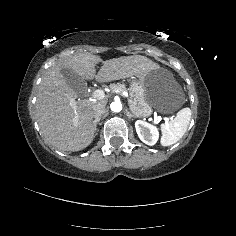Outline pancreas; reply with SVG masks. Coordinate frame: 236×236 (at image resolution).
<instances>
[{"instance_id": "obj_1", "label": "pancreas", "mask_w": 236, "mask_h": 236, "mask_svg": "<svg viewBox=\"0 0 236 236\" xmlns=\"http://www.w3.org/2000/svg\"><path fill=\"white\" fill-rule=\"evenodd\" d=\"M109 88H110V89L118 88V89H120L122 92L127 91V90H126V87H125L124 85L116 84V83L110 84V85H109Z\"/></svg>"}]
</instances>
